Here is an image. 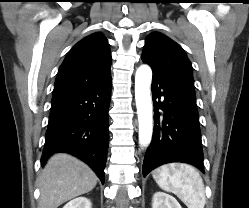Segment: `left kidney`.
I'll use <instances>...</instances> for the list:
<instances>
[{"mask_svg":"<svg viewBox=\"0 0 249 208\" xmlns=\"http://www.w3.org/2000/svg\"><path fill=\"white\" fill-rule=\"evenodd\" d=\"M152 208H182V207L173 196L163 192H156L153 195Z\"/></svg>","mask_w":249,"mask_h":208,"instance_id":"obj_1","label":"left kidney"}]
</instances>
